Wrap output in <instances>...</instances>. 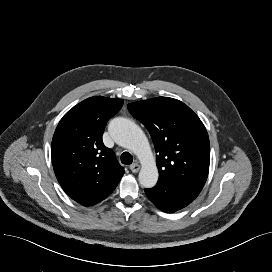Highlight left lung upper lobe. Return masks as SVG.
<instances>
[{
  "label": "left lung upper lobe",
  "mask_w": 272,
  "mask_h": 272,
  "mask_svg": "<svg viewBox=\"0 0 272 272\" xmlns=\"http://www.w3.org/2000/svg\"><path fill=\"white\" fill-rule=\"evenodd\" d=\"M128 110L151 134L158 181L201 191L209 172L210 143L199 117L183 102L168 97L130 103Z\"/></svg>",
  "instance_id": "obj_1"
}]
</instances>
